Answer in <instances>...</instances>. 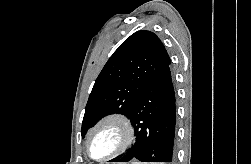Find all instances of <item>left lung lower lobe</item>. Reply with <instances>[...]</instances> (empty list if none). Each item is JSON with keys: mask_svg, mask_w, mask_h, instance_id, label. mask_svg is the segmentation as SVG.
Returning a JSON list of instances; mask_svg holds the SVG:
<instances>
[{"mask_svg": "<svg viewBox=\"0 0 251 164\" xmlns=\"http://www.w3.org/2000/svg\"><path fill=\"white\" fill-rule=\"evenodd\" d=\"M175 91L170 64L143 89L129 119L134 126L136 142L127 154L112 162H173L175 158Z\"/></svg>", "mask_w": 251, "mask_h": 164, "instance_id": "0a47b994", "label": "left lung lower lobe"}]
</instances>
